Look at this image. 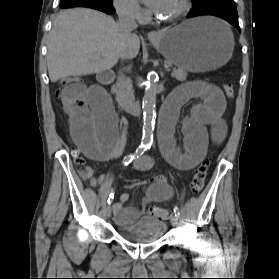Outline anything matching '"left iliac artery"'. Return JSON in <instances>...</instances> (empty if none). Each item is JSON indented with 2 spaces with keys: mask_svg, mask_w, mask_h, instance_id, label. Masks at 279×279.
I'll list each match as a JSON object with an SVG mask.
<instances>
[{
  "mask_svg": "<svg viewBox=\"0 0 279 279\" xmlns=\"http://www.w3.org/2000/svg\"><path fill=\"white\" fill-rule=\"evenodd\" d=\"M174 213H175V216H176L177 218L180 217V211H179V209H178L177 207L174 208Z\"/></svg>",
  "mask_w": 279,
  "mask_h": 279,
  "instance_id": "obj_1",
  "label": "left iliac artery"
}]
</instances>
